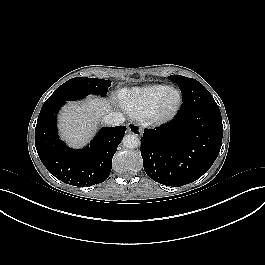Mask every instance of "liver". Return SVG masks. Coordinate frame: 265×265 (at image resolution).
I'll list each match as a JSON object with an SVG mask.
<instances>
[{"mask_svg":"<svg viewBox=\"0 0 265 265\" xmlns=\"http://www.w3.org/2000/svg\"><path fill=\"white\" fill-rule=\"evenodd\" d=\"M111 109L106 99L88 98L79 105L70 103L59 115V130L62 139L71 147H82L93 136L100 119Z\"/></svg>","mask_w":265,"mask_h":265,"instance_id":"liver-1","label":"liver"}]
</instances>
